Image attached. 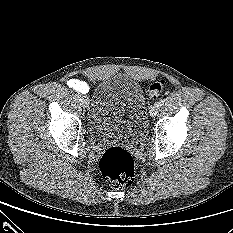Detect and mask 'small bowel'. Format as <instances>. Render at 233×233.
Segmentation results:
<instances>
[{"mask_svg":"<svg viewBox=\"0 0 233 233\" xmlns=\"http://www.w3.org/2000/svg\"><path fill=\"white\" fill-rule=\"evenodd\" d=\"M67 84L69 87L82 94H86L89 92V85L85 81H82L78 78L69 79Z\"/></svg>","mask_w":233,"mask_h":233,"instance_id":"small-bowel-1","label":"small bowel"}]
</instances>
